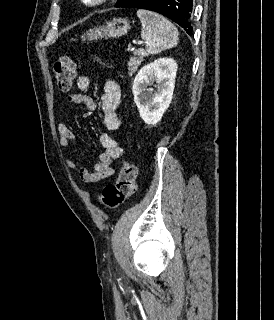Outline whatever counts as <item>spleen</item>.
<instances>
[{"label":"spleen","instance_id":"obj_1","mask_svg":"<svg viewBox=\"0 0 274 320\" xmlns=\"http://www.w3.org/2000/svg\"><path fill=\"white\" fill-rule=\"evenodd\" d=\"M137 16L142 24L141 38L146 42L148 54H159L177 46L178 30L169 20L148 10H137Z\"/></svg>","mask_w":274,"mask_h":320}]
</instances>
